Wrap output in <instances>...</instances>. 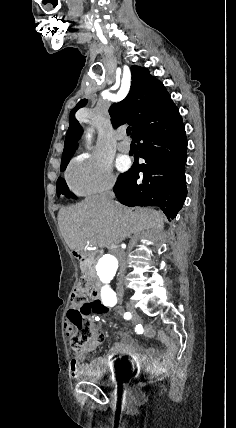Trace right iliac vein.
Returning a JSON list of instances; mask_svg holds the SVG:
<instances>
[{"label": "right iliac vein", "mask_w": 236, "mask_h": 428, "mask_svg": "<svg viewBox=\"0 0 236 428\" xmlns=\"http://www.w3.org/2000/svg\"><path fill=\"white\" fill-rule=\"evenodd\" d=\"M125 306H128V303H125Z\"/></svg>", "instance_id": "1"}]
</instances>
